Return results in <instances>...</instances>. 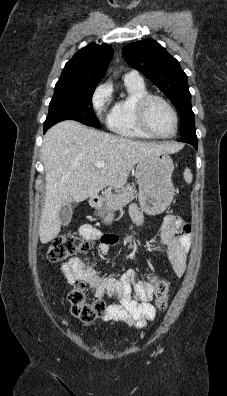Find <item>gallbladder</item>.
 I'll use <instances>...</instances> for the list:
<instances>
[{
	"label": "gallbladder",
	"mask_w": 227,
	"mask_h": 396,
	"mask_svg": "<svg viewBox=\"0 0 227 396\" xmlns=\"http://www.w3.org/2000/svg\"><path fill=\"white\" fill-rule=\"evenodd\" d=\"M72 217V208L70 204H64L61 206L60 211H59V220L61 222V225L67 226Z\"/></svg>",
	"instance_id": "1"
}]
</instances>
